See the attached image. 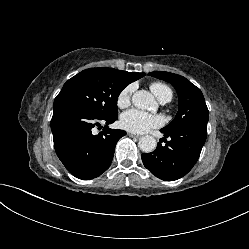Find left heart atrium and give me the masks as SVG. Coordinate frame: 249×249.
I'll return each instance as SVG.
<instances>
[{
    "instance_id": "obj_1",
    "label": "left heart atrium",
    "mask_w": 249,
    "mask_h": 249,
    "mask_svg": "<svg viewBox=\"0 0 249 249\" xmlns=\"http://www.w3.org/2000/svg\"><path fill=\"white\" fill-rule=\"evenodd\" d=\"M120 124L125 130L144 133L162 124L160 117L146 113L138 109H131L124 112L120 119Z\"/></svg>"
}]
</instances>
